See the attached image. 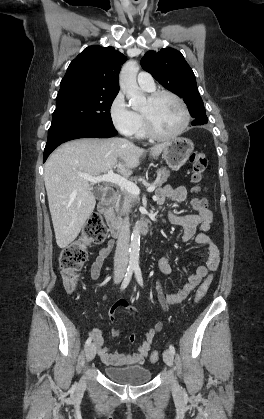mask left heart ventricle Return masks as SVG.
<instances>
[{
    "label": "left heart ventricle",
    "mask_w": 264,
    "mask_h": 419,
    "mask_svg": "<svg viewBox=\"0 0 264 419\" xmlns=\"http://www.w3.org/2000/svg\"><path fill=\"white\" fill-rule=\"evenodd\" d=\"M153 120L156 130L163 135L175 133L183 123V112L175 99L164 95L154 103L148 100L143 108Z\"/></svg>",
    "instance_id": "obj_1"
}]
</instances>
